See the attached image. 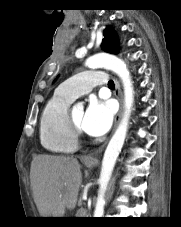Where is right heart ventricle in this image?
<instances>
[{
    "label": "right heart ventricle",
    "instance_id": "1",
    "mask_svg": "<svg viewBox=\"0 0 181 227\" xmlns=\"http://www.w3.org/2000/svg\"><path fill=\"white\" fill-rule=\"evenodd\" d=\"M72 100L55 92L46 103L40 117V142L49 152L73 153L78 148L67 123V113Z\"/></svg>",
    "mask_w": 181,
    "mask_h": 227
}]
</instances>
